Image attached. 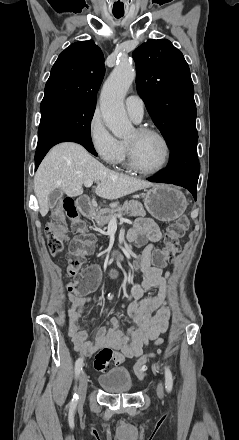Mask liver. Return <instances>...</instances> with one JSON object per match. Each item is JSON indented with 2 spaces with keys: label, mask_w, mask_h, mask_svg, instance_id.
Returning a JSON list of instances; mask_svg holds the SVG:
<instances>
[{
  "label": "liver",
  "mask_w": 239,
  "mask_h": 440,
  "mask_svg": "<svg viewBox=\"0 0 239 440\" xmlns=\"http://www.w3.org/2000/svg\"><path fill=\"white\" fill-rule=\"evenodd\" d=\"M88 180L100 182L95 188V194L106 200H118L138 190L156 186L145 180L108 170L79 144L64 142L48 152L34 176V190L41 216L48 214L50 192L60 188L66 196L75 198L83 194L82 184Z\"/></svg>",
  "instance_id": "obj_1"
}]
</instances>
